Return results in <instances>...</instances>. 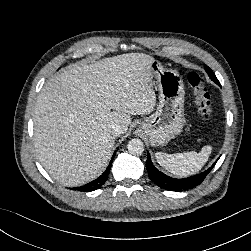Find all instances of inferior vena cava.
I'll return each mask as SVG.
<instances>
[{
	"instance_id": "obj_1",
	"label": "inferior vena cava",
	"mask_w": 251,
	"mask_h": 251,
	"mask_svg": "<svg viewBox=\"0 0 251 251\" xmlns=\"http://www.w3.org/2000/svg\"><path fill=\"white\" fill-rule=\"evenodd\" d=\"M122 128L121 126L117 125V124H114L111 126V133L114 135V136H120L122 134Z\"/></svg>"
}]
</instances>
